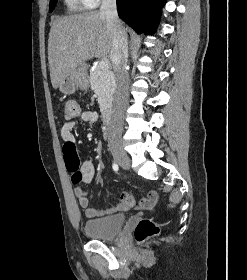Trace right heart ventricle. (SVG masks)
Masks as SVG:
<instances>
[{
    "label": "right heart ventricle",
    "instance_id": "e07e8e85",
    "mask_svg": "<svg viewBox=\"0 0 247 280\" xmlns=\"http://www.w3.org/2000/svg\"><path fill=\"white\" fill-rule=\"evenodd\" d=\"M65 2L68 9L71 11L81 9L83 7V3L81 0H65Z\"/></svg>",
    "mask_w": 247,
    "mask_h": 280
}]
</instances>
